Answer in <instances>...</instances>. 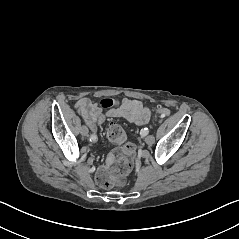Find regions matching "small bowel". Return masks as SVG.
I'll return each instance as SVG.
<instances>
[{
  "instance_id": "c3829d8e",
  "label": "small bowel",
  "mask_w": 239,
  "mask_h": 239,
  "mask_svg": "<svg viewBox=\"0 0 239 239\" xmlns=\"http://www.w3.org/2000/svg\"><path fill=\"white\" fill-rule=\"evenodd\" d=\"M76 108L92 129H96L106 116L123 118L136 125L147 124L153 119L151 111L135 99L125 98L121 101H112V105L105 113L103 112L105 108L98 103H93L89 98H81L76 103Z\"/></svg>"
}]
</instances>
